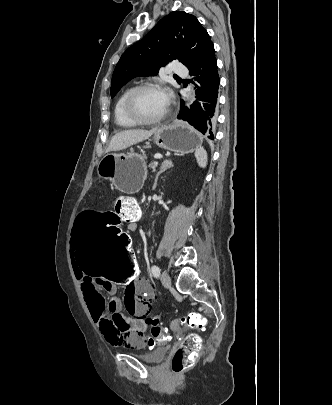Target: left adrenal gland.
<instances>
[{"label":"left adrenal gland","mask_w":332,"mask_h":405,"mask_svg":"<svg viewBox=\"0 0 332 405\" xmlns=\"http://www.w3.org/2000/svg\"><path fill=\"white\" fill-rule=\"evenodd\" d=\"M171 167H173V163H172L170 160H165V161L161 164L160 170H159V172L157 173L156 178H155V182H154V185H153V190L156 188L157 181H158V178H159L160 174H162L164 171H166L167 169H169V168H171Z\"/></svg>","instance_id":"left-adrenal-gland-1"}]
</instances>
